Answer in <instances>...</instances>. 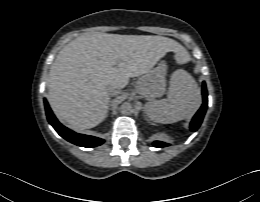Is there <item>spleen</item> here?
Returning a JSON list of instances; mask_svg holds the SVG:
<instances>
[{
  "label": "spleen",
  "instance_id": "spleen-1",
  "mask_svg": "<svg viewBox=\"0 0 260 202\" xmlns=\"http://www.w3.org/2000/svg\"><path fill=\"white\" fill-rule=\"evenodd\" d=\"M198 99L199 89L194 78L184 70H177L171 75L167 99L146 103L145 111L152 121L174 123L188 116Z\"/></svg>",
  "mask_w": 260,
  "mask_h": 202
}]
</instances>
